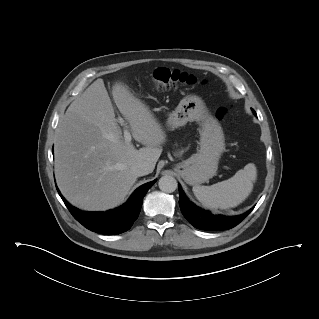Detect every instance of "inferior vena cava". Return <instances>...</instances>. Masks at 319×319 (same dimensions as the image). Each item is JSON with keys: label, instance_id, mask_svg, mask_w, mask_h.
I'll use <instances>...</instances> for the list:
<instances>
[{"label": "inferior vena cava", "instance_id": "602c4592", "mask_svg": "<svg viewBox=\"0 0 319 319\" xmlns=\"http://www.w3.org/2000/svg\"><path fill=\"white\" fill-rule=\"evenodd\" d=\"M131 171L136 176H144L149 174L151 169L147 162H138L131 167Z\"/></svg>", "mask_w": 319, "mask_h": 319}]
</instances>
